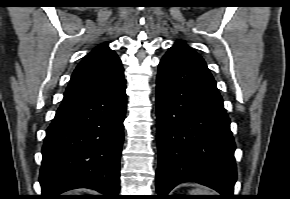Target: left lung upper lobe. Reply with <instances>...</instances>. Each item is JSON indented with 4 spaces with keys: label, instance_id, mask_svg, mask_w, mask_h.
<instances>
[{
    "label": "left lung upper lobe",
    "instance_id": "obj_1",
    "mask_svg": "<svg viewBox=\"0 0 290 199\" xmlns=\"http://www.w3.org/2000/svg\"><path fill=\"white\" fill-rule=\"evenodd\" d=\"M169 50L178 51L186 55L188 58L194 59L197 63L206 66L203 58L182 41H177Z\"/></svg>",
    "mask_w": 290,
    "mask_h": 199
}]
</instances>
